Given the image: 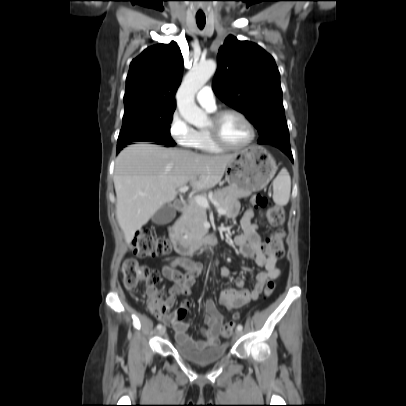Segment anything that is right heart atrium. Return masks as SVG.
Here are the masks:
<instances>
[{
  "mask_svg": "<svg viewBox=\"0 0 406 406\" xmlns=\"http://www.w3.org/2000/svg\"><path fill=\"white\" fill-rule=\"evenodd\" d=\"M169 131L172 138L181 146L191 147L198 135L182 114L175 110L169 123Z\"/></svg>",
  "mask_w": 406,
  "mask_h": 406,
  "instance_id": "obj_1",
  "label": "right heart atrium"
}]
</instances>
